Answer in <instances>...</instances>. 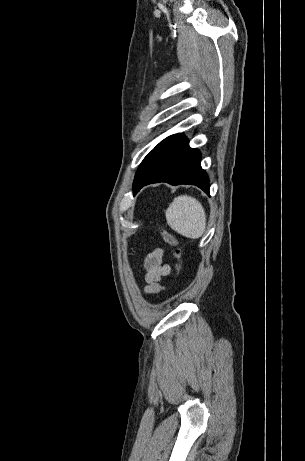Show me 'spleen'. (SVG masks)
Returning <instances> with one entry per match:
<instances>
[{
	"instance_id": "obj_1",
	"label": "spleen",
	"mask_w": 305,
	"mask_h": 461,
	"mask_svg": "<svg viewBox=\"0 0 305 461\" xmlns=\"http://www.w3.org/2000/svg\"><path fill=\"white\" fill-rule=\"evenodd\" d=\"M168 225L177 233L191 239L200 238L206 228V214L202 204L187 195L178 196L166 212Z\"/></svg>"
}]
</instances>
